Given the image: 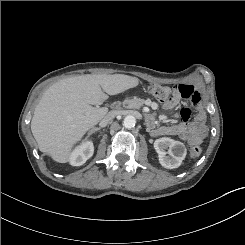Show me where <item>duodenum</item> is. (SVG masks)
Returning <instances> with one entry per match:
<instances>
[{"mask_svg": "<svg viewBox=\"0 0 245 245\" xmlns=\"http://www.w3.org/2000/svg\"><path fill=\"white\" fill-rule=\"evenodd\" d=\"M115 106H116V104L113 105V107H115ZM151 121H152V120H151L150 118H147V123H148V124L151 123Z\"/></svg>", "mask_w": 245, "mask_h": 245, "instance_id": "duodenum-1", "label": "duodenum"}]
</instances>
